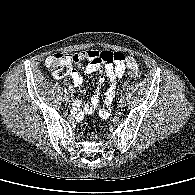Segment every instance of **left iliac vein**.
<instances>
[{"mask_svg":"<svg viewBox=\"0 0 195 195\" xmlns=\"http://www.w3.org/2000/svg\"><path fill=\"white\" fill-rule=\"evenodd\" d=\"M126 105V100L124 98H121L119 101H118V107L119 108H122Z\"/></svg>","mask_w":195,"mask_h":195,"instance_id":"obj_1","label":"left iliac vein"}]
</instances>
